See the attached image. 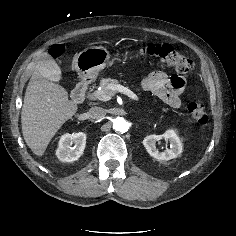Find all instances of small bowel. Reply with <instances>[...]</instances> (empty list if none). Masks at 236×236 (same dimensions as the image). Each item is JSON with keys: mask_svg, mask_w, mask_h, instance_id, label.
Masks as SVG:
<instances>
[{"mask_svg": "<svg viewBox=\"0 0 236 236\" xmlns=\"http://www.w3.org/2000/svg\"><path fill=\"white\" fill-rule=\"evenodd\" d=\"M141 87L163 100L173 108L181 107L180 95L185 88V79L178 75H168L163 71L150 73L141 82Z\"/></svg>", "mask_w": 236, "mask_h": 236, "instance_id": "1", "label": "small bowel"}]
</instances>
